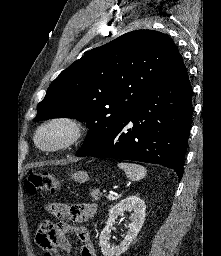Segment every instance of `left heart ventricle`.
Listing matches in <instances>:
<instances>
[{
	"label": "left heart ventricle",
	"mask_w": 221,
	"mask_h": 256,
	"mask_svg": "<svg viewBox=\"0 0 221 256\" xmlns=\"http://www.w3.org/2000/svg\"><path fill=\"white\" fill-rule=\"evenodd\" d=\"M65 136V130L59 127H54L44 131L40 135V141L47 145H53L63 140Z\"/></svg>",
	"instance_id": "b2bd125f"
}]
</instances>
